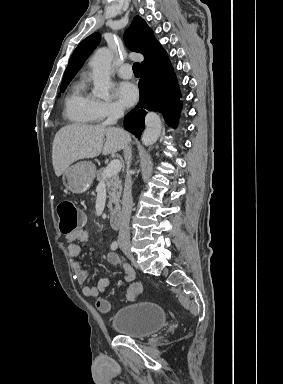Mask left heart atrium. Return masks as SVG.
I'll return each instance as SVG.
<instances>
[{"label":"left heart atrium","mask_w":283,"mask_h":384,"mask_svg":"<svg viewBox=\"0 0 283 384\" xmlns=\"http://www.w3.org/2000/svg\"><path fill=\"white\" fill-rule=\"evenodd\" d=\"M115 94L124 107L133 106L138 100L137 88L128 82H120L114 88Z\"/></svg>","instance_id":"obj_1"}]
</instances>
